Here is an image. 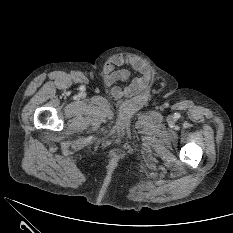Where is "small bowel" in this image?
<instances>
[{
  "instance_id": "obj_1",
  "label": "small bowel",
  "mask_w": 233,
  "mask_h": 233,
  "mask_svg": "<svg viewBox=\"0 0 233 233\" xmlns=\"http://www.w3.org/2000/svg\"><path fill=\"white\" fill-rule=\"evenodd\" d=\"M129 65L139 73L126 86L117 85L130 76V71L122 66ZM103 80L109 87L111 94L116 98L133 97L141 93L148 85L151 73L148 66L137 56L116 54L111 56L103 65Z\"/></svg>"
}]
</instances>
